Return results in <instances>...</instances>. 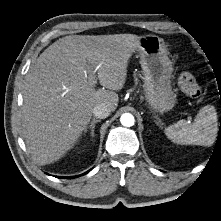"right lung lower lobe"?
<instances>
[{"label":"right lung lower lobe","mask_w":221,"mask_h":221,"mask_svg":"<svg viewBox=\"0 0 221 221\" xmlns=\"http://www.w3.org/2000/svg\"><path fill=\"white\" fill-rule=\"evenodd\" d=\"M88 172H89V171H87L86 173H88ZM86 173H84V174H86ZM84 174H83V175H84ZM71 178H74V177H71Z\"/></svg>","instance_id":"obj_1"}]
</instances>
